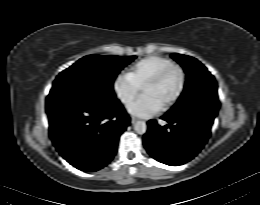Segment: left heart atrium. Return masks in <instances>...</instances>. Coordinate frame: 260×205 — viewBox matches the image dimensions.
<instances>
[{
    "instance_id": "obj_1",
    "label": "left heart atrium",
    "mask_w": 260,
    "mask_h": 205,
    "mask_svg": "<svg viewBox=\"0 0 260 205\" xmlns=\"http://www.w3.org/2000/svg\"><path fill=\"white\" fill-rule=\"evenodd\" d=\"M148 102H149V100L143 101L140 105L134 107L133 110L136 111V112H139L140 110H142V108H144V106H145L146 104H148ZM159 106H160V105H158V104L156 105V110H158ZM160 108H161V106H160Z\"/></svg>"
}]
</instances>
